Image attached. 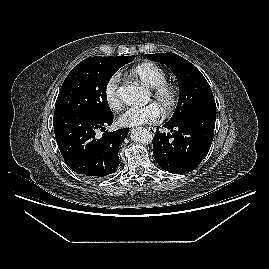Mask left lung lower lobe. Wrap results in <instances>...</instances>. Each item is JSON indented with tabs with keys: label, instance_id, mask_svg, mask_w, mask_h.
I'll return each mask as SVG.
<instances>
[{
	"label": "left lung lower lobe",
	"instance_id": "1",
	"mask_svg": "<svg viewBox=\"0 0 269 269\" xmlns=\"http://www.w3.org/2000/svg\"><path fill=\"white\" fill-rule=\"evenodd\" d=\"M216 110L206 109L164 127L171 133L153 138V156L159 166L173 174L193 171L208 154L214 137Z\"/></svg>",
	"mask_w": 269,
	"mask_h": 269
}]
</instances>
